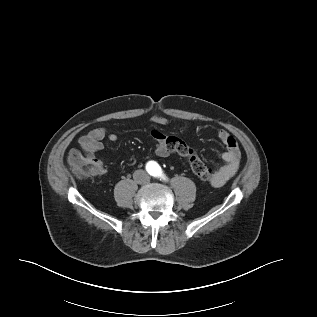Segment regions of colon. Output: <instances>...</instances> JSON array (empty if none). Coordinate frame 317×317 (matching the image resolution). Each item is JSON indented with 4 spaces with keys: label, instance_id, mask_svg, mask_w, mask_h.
Instances as JSON below:
<instances>
[{
    "label": "colon",
    "instance_id": "5ec220e1",
    "mask_svg": "<svg viewBox=\"0 0 317 317\" xmlns=\"http://www.w3.org/2000/svg\"><path fill=\"white\" fill-rule=\"evenodd\" d=\"M179 154L187 159L191 172L199 180L209 182L212 180L211 169L197 156L189 146L179 151ZM72 170L78 178H89L97 174V166L94 161L83 157H77L72 163Z\"/></svg>",
    "mask_w": 317,
    "mask_h": 317
}]
</instances>
